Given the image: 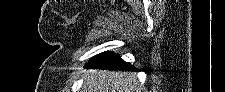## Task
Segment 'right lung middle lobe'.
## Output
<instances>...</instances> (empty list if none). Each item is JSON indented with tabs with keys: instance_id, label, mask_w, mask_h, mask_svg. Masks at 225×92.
I'll list each match as a JSON object with an SVG mask.
<instances>
[{
	"instance_id": "right-lung-middle-lobe-1",
	"label": "right lung middle lobe",
	"mask_w": 225,
	"mask_h": 92,
	"mask_svg": "<svg viewBox=\"0 0 225 92\" xmlns=\"http://www.w3.org/2000/svg\"><path fill=\"white\" fill-rule=\"evenodd\" d=\"M108 54H110V52H104V53H101L99 55H96L95 57H93L92 59L89 60L88 64H86V66H88L89 64H91V63H93V62H95V61H97V60L107 56Z\"/></svg>"
}]
</instances>
